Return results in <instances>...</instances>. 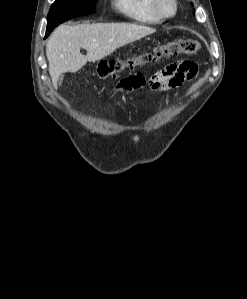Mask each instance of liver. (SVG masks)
I'll list each match as a JSON object with an SVG mask.
<instances>
[{"label":"liver","instance_id":"liver-1","mask_svg":"<svg viewBox=\"0 0 247 299\" xmlns=\"http://www.w3.org/2000/svg\"><path fill=\"white\" fill-rule=\"evenodd\" d=\"M156 30L130 23H93L75 26L62 25L46 44L49 74L56 86L61 74L75 73L88 61L95 62L116 49L153 34ZM81 48L87 54H81Z\"/></svg>","mask_w":247,"mask_h":299}]
</instances>
